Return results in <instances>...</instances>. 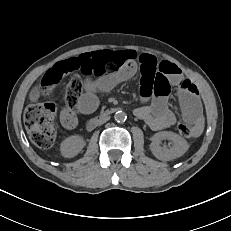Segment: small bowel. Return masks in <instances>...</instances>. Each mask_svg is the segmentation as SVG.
I'll list each match as a JSON object with an SVG mask.
<instances>
[{"instance_id": "obj_1", "label": "small bowel", "mask_w": 231, "mask_h": 231, "mask_svg": "<svg viewBox=\"0 0 231 231\" xmlns=\"http://www.w3.org/2000/svg\"><path fill=\"white\" fill-rule=\"evenodd\" d=\"M137 70L140 72L141 104L134 111L136 117L154 131L171 127L176 123V116L167 105L169 93H158L157 80L161 79L169 88L178 89V82L184 77L175 64L158 61L151 54H139L133 50L83 53L57 63L43 79L55 85L65 74H73L60 119L65 128L74 129L78 124L77 112L91 113L97 106L98 93L129 80ZM179 93L183 115L187 122L193 124L195 136H198L204 126L201 103L194 94L180 90Z\"/></svg>"}]
</instances>
